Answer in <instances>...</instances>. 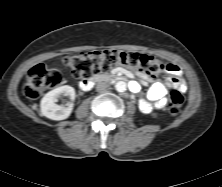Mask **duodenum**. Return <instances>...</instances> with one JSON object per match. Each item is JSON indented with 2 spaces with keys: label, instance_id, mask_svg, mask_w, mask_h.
<instances>
[{
  "label": "duodenum",
  "instance_id": "410a0bca",
  "mask_svg": "<svg viewBox=\"0 0 222 187\" xmlns=\"http://www.w3.org/2000/svg\"><path fill=\"white\" fill-rule=\"evenodd\" d=\"M128 76L124 73H113L110 75H98L92 80L83 81L81 83V88L83 90H89L92 88L95 81H110V82H118V81H127Z\"/></svg>",
  "mask_w": 222,
  "mask_h": 187
}]
</instances>
